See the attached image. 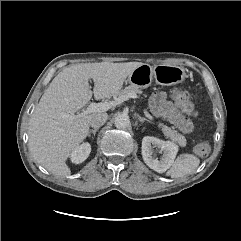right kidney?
<instances>
[{"instance_id":"obj_1","label":"right kidney","mask_w":241,"mask_h":241,"mask_svg":"<svg viewBox=\"0 0 241 241\" xmlns=\"http://www.w3.org/2000/svg\"><path fill=\"white\" fill-rule=\"evenodd\" d=\"M91 152V146L89 143H83L77 146L71 153V161L75 164L85 161Z\"/></svg>"}]
</instances>
